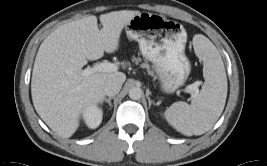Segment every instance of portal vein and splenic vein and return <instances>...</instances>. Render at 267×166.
Listing matches in <instances>:
<instances>
[{
    "label": "portal vein and splenic vein",
    "mask_w": 267,
    "mask_h": 166,
    "mask_svg": "<svg viewBox=\"0 0 267 166\" xmlns=\"http://www.w3.org/2000/svg\"><path fill=\"white\" fill-rule=\"evenodd\" d=\"M118 70V65L110 62H101L94 67L85 68L82 70V76H89L97 72H116ZM186 90L193 91V97H196L199 93L198 85L196 83L189 85Z\"/></svg>",
    "instance_id": "obj_1"
}]
</instances>
